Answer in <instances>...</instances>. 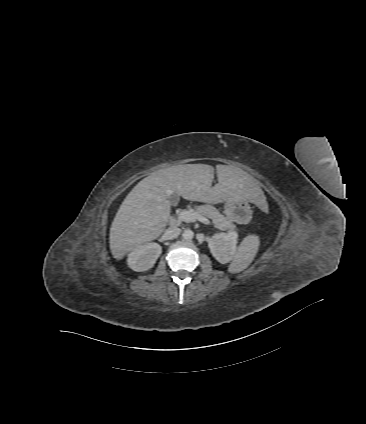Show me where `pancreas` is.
Returning a JSON list of instances; mask_svg holds the SVG:
<instances>
[{"label": "pancreas", "instance_id": "obj_1", "mask_svg": "<svg viewBox=\"0 0 366 424\" xmlns=\"http://www.w3.org/2000/svg\"><path fill=\"white\" fill-rule=\"evenodd\" d=\"M198 214L207 217L212 220L214 226L222 231L235 230L236 226L233 221L224 215H222L215 207L211 205H201L194 208H189Z\"/></svg>", "mask_w": 366, "mask_h": 424}]
</instances>
